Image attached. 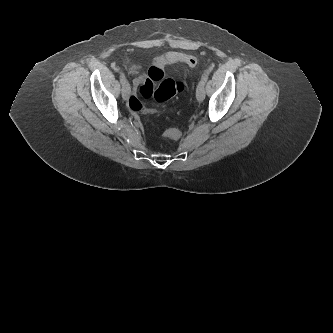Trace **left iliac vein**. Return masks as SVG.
Returning <instances> with one entry per match:
<instances>
[{"label": "left iliac vein", "instance_id": "left-iliac-vein-1", "mask_svg": "<svg viewBox=\"0 0 333 333\" xmlns=\"http://www.w3.org/2000/svg\"><path fill=\"white\" fill-rule=\"evenodd\" d=\"M196 98L198 102H202L205 99V88L202 83H199L196 89Z\"/></svg>", "mask_w": 333, "mask_h": 333}]
</instances>
